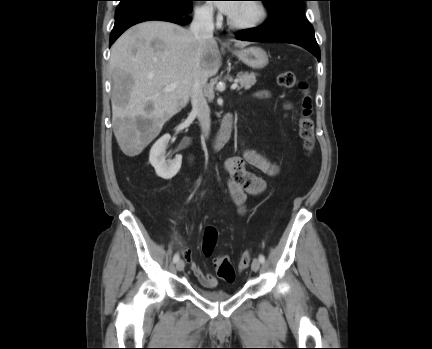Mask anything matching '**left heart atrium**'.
<instances>
[{
    "label": "left heart atrium",
    "mask_w": 432,
    "mask_h": 349,
    "mask_svg": "<svg viewBox=\"0 0 432 349\" xmlns=\"http://www.w3.org/2000/svg\"><path fill=\"white\" fill-rule=\"evenodd\" d=\"M218 7L223 13L230 16L238 7V3L236 1H221L218 3Z\"/></svg>",
    "instance_id": "left-heart-atrium-1"
}]
</instances>
